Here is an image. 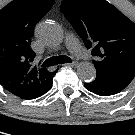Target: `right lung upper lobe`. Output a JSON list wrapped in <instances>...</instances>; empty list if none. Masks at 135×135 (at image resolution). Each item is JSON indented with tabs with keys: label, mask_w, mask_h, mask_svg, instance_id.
<instances>
[{
	"label": "right lung upper lobe",
	"mask_w": 135,
	"mask_h": 135,
	"mask_svg": "<svg viewBox=\"0 0 135 135\" xmlns=\"http://www.w3.org/2000/svg\"><path fill=\"white\" fill-rule=\"evenodd\" d=\"M54 0H13L0 10V84L22 97L47 87L57 71L31 65L30 42L36 23Z\"/></svg>",
	"instance_id": "right-lung-upper-lobe-1"
}]
</instances>
